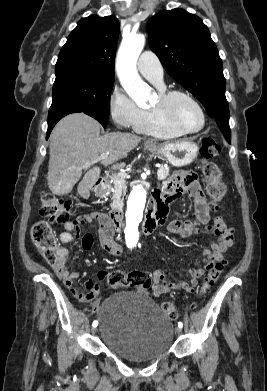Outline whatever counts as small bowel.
<instances>
[{
  "mask_svg": "<svg viewBox=\"0 0 267 391\" xmlns=\"http://www.w3.org/2000/svg\"><path fill=\"white\" fill-rule=\"evenodd\" d=\"M185 193H188L194 201V216L191 220H172L167 230L180 237H188L200 232L201 226H206L207 229L218 237V240L211 245V248H204L202 251L204 267L191 268L189 270V281L170 282L161 270H156L152 274V286L148 294L160 296L172 290L181 289L187 293H193L198 285L199 278L204 274L205 270L210 269L217 261L223 258L224 253L232 245L233 229L228 227L221 217L214 219L213 225L210 222L209 204L197 182L196 175L190 171H177L163 184L161 189H157L154 193V205L161 214L163 222L168 214L169 205L180 198ZM97 221L98 237L102 249L111 256H119L122 254V246L114 239V232L109 224V219L102 213H88L79 216L74 221H67L63 225V231L59 235V246L57 248L58 259L53 265L56 275L63 280L65 285L69 287L72 293L82 301L92 303L94 308L101 305L99 286L95 282L96 279H108L111 273L99 271L96 274L85 279V287L87 293H82L72 287V283L80 274L71 270L68 271L65 265L68 261L69 250L65 246L73 241L75 235H79L82 226L86 223ZM93 245V236L91 233H85L82 238V247L85 250L91 249Z\"/></svg>",
  "mask_w": 267,
  "mask_h": 391,
  "instance_id": "obj_1",
  "label": "small bowel"
}]
</instances>
